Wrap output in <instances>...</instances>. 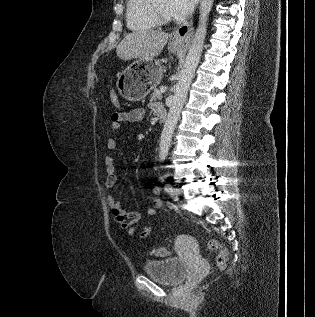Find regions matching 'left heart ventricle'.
<instances>
[{
  "label": "left heart ventricle",
  "mask_w": 315,
  "mask_h": 317,
  "mask_svg": "<svg viewBox=\"0 0 315 317\" xmlns=\"http://www.w3.org/2000/svg\"><path fill=\"white\" fill-rule=\"evenodd\" d=\"M154 3L163 15L170 17L166 10L167 0H155Z\"/></svg>",
  "instance_id": "obj_1"
}]
</instances>
